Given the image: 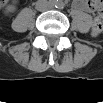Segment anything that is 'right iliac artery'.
I'll return each mask as SVG.
<instances>
[{
    "label": "right iliac artery",
    "instance_id": "82829eb1",
    "mask_svg": "<svg viewBox=\"0 0 103 103\" xmlns=\"http://www.w3.org/2000/svg\"><path fill=\"white\" fill-rule=\"evenodd\" d=\"M51 4L56 6L57 1H56V0H52V1H51Z\"/></svg>",
    "mask_w": 103,
    "mask_h": 103
}]
</instances>
